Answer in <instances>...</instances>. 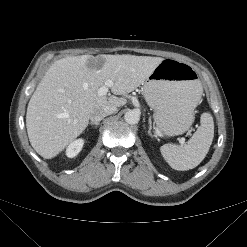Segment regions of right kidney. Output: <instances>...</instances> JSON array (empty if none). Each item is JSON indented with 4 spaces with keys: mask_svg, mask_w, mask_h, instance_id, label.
Instances as JSON below:
<instances>
[{
    "mask_svg": "<svg viewBox=\"0 0 247 247\" xmlns=\"http://www.w3.org/2000/svg\"><path fill=\"white\" fill-rule=\"evenodd\" d=\"M83 144H84L83 139H78L70 143L68 148L66 149L67 157L69 158L75 157L81 151Z\"/></svg>",
    "mask_w": 247,
    "mask_h": 247,
    "instance_id": "ca27d5eb",
    "label": "right kidney"
}]
</instances>
